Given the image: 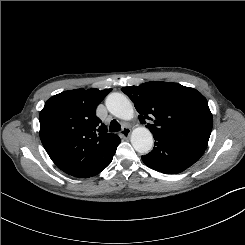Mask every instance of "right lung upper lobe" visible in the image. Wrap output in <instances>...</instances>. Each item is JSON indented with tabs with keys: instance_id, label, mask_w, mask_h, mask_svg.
<instances>
[{
	"instance_id": "cb5924a9",
	"label": "right lung upper lobe",
	"mask_w": 245,
	"mask_h": 245,
	"mask_svg": "<svg viewBox=\"0 0 245 245\" xmlns=\"http://www.w3.org/2000/svg\"><path fill=\"white\" fill-rule=\"evenodd\" d=\"M112 89H77L52 96L40 112V138L52 161L68 175L87 178L111 161L120 138L95 115Z\"/></svg>"
}]
</instances>
